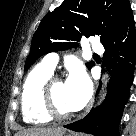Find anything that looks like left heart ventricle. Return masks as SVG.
Listing matches in <instances>:
<instances>
[{"label": "left heart ventricle", "instance_id": "b2bd125f", "mask_svg": "<svg viewBox=\"0 0 136 136\" xmlns=\"http://www.w3.org/2000/svg\"><path fill=\"white\" fill-rule=\"evenodd\" d=\"M53 94L55 103L60 111L62 112L74 111L69 103L67 89L64 82H58L55 84Z\"/></svg>", "mask_w": 136, "mask_h": 136}]
</instances>
